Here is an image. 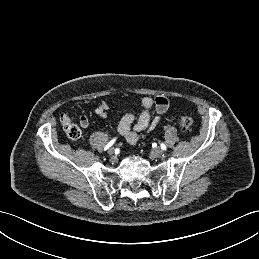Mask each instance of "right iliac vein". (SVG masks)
I'll use <instances>...</instances> for the list:
<instances>
[{
  "mask_svg": "<svg viewBox=\"0 0 259 259\" xmlns=\"http://www.w3.org/2000/svg\"><path fill=\"white\" fill-rule=\"evenodd\" d=\"M108 154H109L110 156H112L113 159H115V151H114V148H110V149L108 150Z\"/></svg>",
  "mask_w": 259,
  "mask_h": 259,
  "instance_id": "right-iliac-vein-1",
  "label": "right iliac vein"
}]
</instances>
